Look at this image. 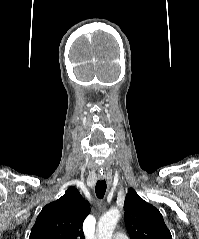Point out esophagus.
I'll use <instances>...</instances> for the list:
<instances>
[{
  "mask_svg": "<svg viewBox=\"0 0 199 239\" xmlns=\"http://www.w3.org/2000/svg\"><path fill=\"white\" fill-rule=\"evenodd\" d=\"M104 177H105V175H103V174L99 175V178H101V179L104 178Z\"/></svg>",
  "mask_w": 199,
  "mask_h": 239,
  "instance_id": "1",
  "label": "esophagus"
}]
</instances>
